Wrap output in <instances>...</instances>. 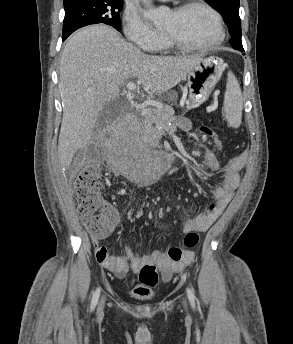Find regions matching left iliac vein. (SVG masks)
Masks as SVG:
<instances>
[{
	"label": "left iliac vein",
	"mask_w": 293,
	"mask_h": 344,
	"mask_svg": "<svg viewBox=\"0 0 293 344\" xmlns=\"http://www.w3.org/2000/svg\"><path fill=\"white\" fill-rule=\"evenodd\" d=\"M183 304H184V306L186 307V302H185V301L183 302Z\"/></svg>",
	"instance_id": "4c4485c4"
}]
</instances>
